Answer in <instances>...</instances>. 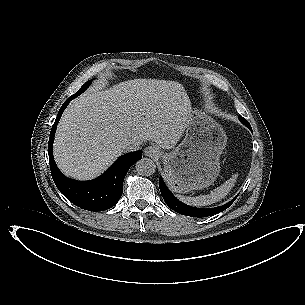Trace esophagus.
I'll return each instance as SVG.
<instances>
[{"instance_id":"34e87169","label":"esophagus","mask_w":305,"mask_h":305,"mask_svg":"<svg viewBox=\"0 0 305 305\" xmlns=\"http://www.w3.org/2000/svg\"><path fill=\"white\" fill-rule=\"evenodd\" d=\"M144 154L147 157L155 158V157H158L160 155V150L157 146L151 145V146H148V147L145 148Z\"/></svg>"}]
</instances>
